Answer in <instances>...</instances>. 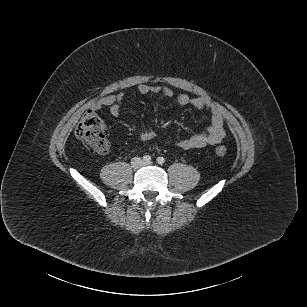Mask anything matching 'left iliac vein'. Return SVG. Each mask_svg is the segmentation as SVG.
<instances>
[{
	"label": "left iliac vein",
	"instance_id": "4c4485c4",
	"mask_svg": "<svg viewBox=\"0 0 307 307\" xmlns=\"http://www.w3.org/2000/svg\"><path fill=\"white\" fill-rule=\"evenodd\" d=\"M152 163L150 162V163H144V165H151Z\"/></svg>",
	"mask_w": 307,
	"mask_h": 307
}]
</instances>
